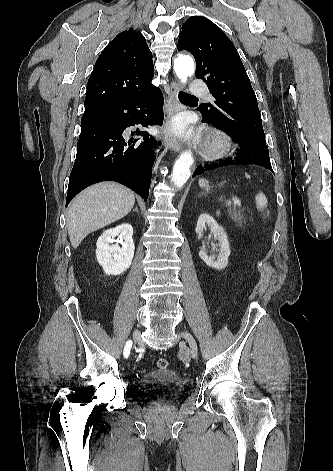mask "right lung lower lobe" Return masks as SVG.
I'll use <instances>...</instances> for the list:
<instances>
[{
  "mask_svg": "<svg viewBox=\"0 0 333 471\" xmlns=\"http://www.w3.org/2000/svg\"><path fill=\"white\" fill-rule=\"evenodd\" d=\"M162 106V93L152 85L131 98L82 116L66 206L81 190L105 180L121 183L147 200L154 161L153 149L157 143L147 132H136L144 136L142 141H127L122 134L127 127L135 124L143 127L161 125Z\"/></svg>",
  "mask_w": 333,
  "mask_h": 471,
  "instance_id": "right-lung-lower-lobe-1",
  "label": "right lung lower lobe"
}]
</instances>
